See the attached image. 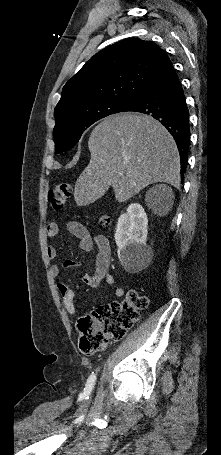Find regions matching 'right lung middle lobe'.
<instances>
[{
    "instance_id": "obj_1",
    "label": "right lung middle lobe",
    "mask_w": 221,
    "mask_h": 455,
    "mask_svg": "<svg viewBox=\"0 0 221 455\" xmlns=\"http://www.w3.org/2000/svg\"><path fill=\"white\" fill-rule=\"evenodd\" d=\"M130 104L117 100L103 101L56 119L53 130L55 152L59 154L70 150L77 144L82 133L94 122L108 115L123 112Z\"/></svg>"
}]
</instances>
